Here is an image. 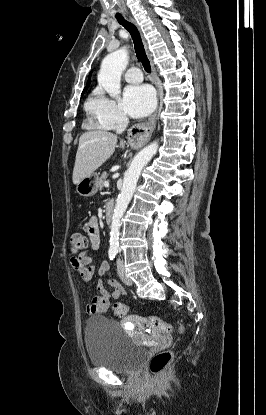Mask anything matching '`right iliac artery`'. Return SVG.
<instances>
[{
	"instance_id": "right-iliac-artery-1",
	"label": "right iliac artery",
	"mask_w": 266,
	"mask_h": 415,
	"mask_svg": "<svg viewBox=\"0 0 266 415\" xmlns=\"http://www.w3.org/2000/svg\"><path fill=\"white\" fill-rule=\"evenodd\" d=\"M115 256H116V252L115 251H110L109 252V258H110V260H113L115 258Z\"/></svg>"
}]
</instances>
